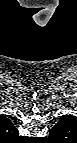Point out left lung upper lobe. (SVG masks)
<instances>
[{
  "label": "left lung upper lobe",
  "mask_w": 77,
  "mask_h": 143,
  "mask_svg": "<svg viewBox=\"0 0 77 143\" xmlns=\"http://www.w3.org/2000/svg\"><path fill=\"white\" fill-rule=\"evenodd\" d=\"M72 122V118L70 117L63 118L52 128L51 131L54 132V134L61 135Z\"/></svg>",
  "instance_id": "left-lung-upper-lobe-1"
}]
</instances>
